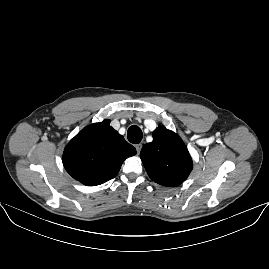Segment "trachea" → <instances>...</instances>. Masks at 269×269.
Returning a JSON list of instances; mask_svg holds the SVG:
<instances>
[{"instance_id": "1", "label": "trachea", "mask_w": 269, "mask_h": 269, "mask_svg": "<svg viewBox=\"0 0 269 269\" xmlns=\"http://www.w3.org/2000/svg\"><path fill=\"white\" fill-rule=\"evenodd\" d=\"M127 137L131 143L138 144L142 140L143 133L138 126L133 125L129 127Z\"/></svg>"}]
</instances>
